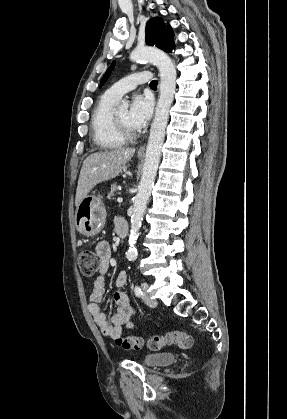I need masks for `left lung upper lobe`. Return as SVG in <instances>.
I'll use <instances>...</instances> for the list:
<instances>
[{
    "mask_svg": "<svg viewBox=\"0 0 287 419\" xmlns=\"http://www.w3.org/2000/svg\"><path fill=\"white\" fill-rule=\"evenodd\" d=\"M173 30L169 24H165L160 17L150 19L146 24V43L150 46H156L165 52L171 53L174 48ZM115 61L103 76L100 87L106 82L114 69Z\"/></svg>",
    "mask_w": 287,
    "mask_h": 419,
    "instance_id": "1",
    "label": "left lung upper lobe"
}]
</instances>
